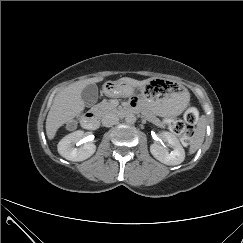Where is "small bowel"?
I'll use <instances>...</instances> for the list:
<instances>
[{
  "label": "small bowel",
  "mask_w": 243,
  "mask_h": 243,
  "mask_svg": "<svg viewBox=\"0 0 243 243\" xmlns=\"http://www.w3.org/2000/svg\"><path fill=\"white\" fill-rule=\"evenodd\" d=\"M131 106H132V107H135V106H136V104H135L134 101L131 103Z\"/></svg>",
  "instance_id": "obj_1"
}]
</instances>
